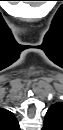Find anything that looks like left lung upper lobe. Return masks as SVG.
<instances>
[{"instance_id":"obj_1","label":"left lung upper lobe","mask_w":63,"mask_h":130,"mask_svg":"<svg viewBox=\"0 0 63 130\" xmlns=\"http://www.w3.org/2000/svg\"><path fill=\"white\" fill-rule=\"evenodd\" d=\"M43 130H63V103L58 102L48 109Z\"/></svg>"}]
</instances>
